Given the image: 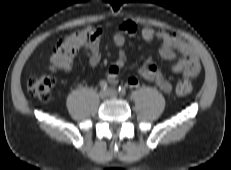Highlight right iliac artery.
Here are the masks:
<instances>
[{"instance_id": "82829eb1", "label": "right iliac artery", "mask_w": 231, "mask_h": 170, "mask_svg": "<svg viewBox=\"0 0 231 170\" xmlns=\"http://www.w3.org/2000/svg\"><path fill=\"white\" fill-rule=\"evenodd\" d=\"M100 87H101L102 89H104V90H105V89H107V87H108L107 82H106V81H104V80H103V81H101V82H100Z\"/></svg>"}]
</instances>
